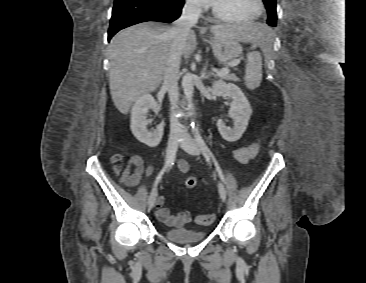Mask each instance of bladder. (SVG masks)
<instances>
[{"instance_id":"obj_1","label":"bladder","mask_w":366,"mask_h":283,"mask_svg":"<svg viewBox=\"0 0 366 283\" xmlns=\"http://www.w3.org/2000/svg\"><path fill=\"white\" fill-rule=\"evenodd\" d=\"M208 232L205 230L192 229H165L163 235L166 239L180 244L195 243L206 238Z\"/></svg>"}]
</instances>
